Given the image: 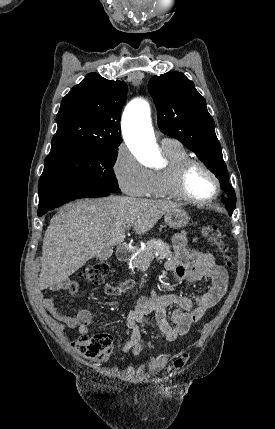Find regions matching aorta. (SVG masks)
I'll return each instance as SVG.
<instances>
[{
    "label": "aorta",
    "mask_w": 275,
    "mask_h": 429,
    "mask_svg": "<svg viewBox=\"0 0 275 429\" xmlns=\"http://www.w3.org/2000/svg\"><path fill=\"white\" fill-rule=\"evenodd\" d=\"M122 133L130 151L146 166H155L160 159L149 104L133 100L122 116Z\"/></svg>",
    "instance_id": "obj_1"
}]
</instances>
